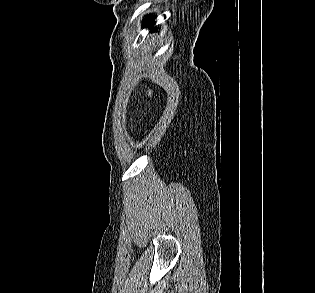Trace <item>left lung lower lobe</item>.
Listing matches in <instances>:
<instances>
[{"label":"left lung lower lobe","instance_id":"left-lung-lower-lobe-1","mask_svg":"<svg viewBox=\"0 0 315 293\" xmlns=\"http://www.w3.org/2000/svg\"><path fill=\"white\" fill-rule=\"evenodd\" d=\"M154 19L155 17L154 16H149V17H146L143 21V26L144 27H149L151 30L154 29Z\"/></svg>","mask_w":315,"mask_h":293}]
</instances>
